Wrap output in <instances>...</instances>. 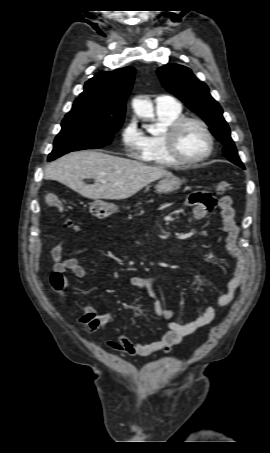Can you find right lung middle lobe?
<instances>
[{
  "mask_svg": "<svg viewBox=\"0 0 270 453\" xmlns=\"http://www.w3.org/2000/svg\"><path fill=\"white\" fill-rule=\"evenodd\" d=\"M122 123L91 114L65 117L48 161L71 151L96 149L110 144Z\"/></svg>",
  "mask_w": 270,
  "mask_h": 453,
  "instance_id": "1",
  "label": "right lung middle lobe"
}]
</instances>
